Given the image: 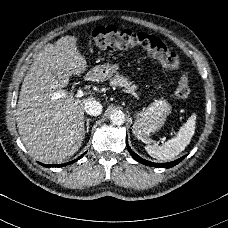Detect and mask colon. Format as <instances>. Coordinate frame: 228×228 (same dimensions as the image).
<instances>
[{
  "label": "colon",
  "instance_id": "5ec220e1",
  "mask_svg": "<svg viewBox=\"0 0 228 228\" xmlns=\"http://www.w3.org/2000/svg\"><path fill=\"white\" fill-rule=\"evenodd\" d=\"M91 39L94 46L100 49H131L143 46L171 72L174 94L179 98H185L190 94L188 74L182 61L161 38L108 25L97 26L92 32Z\"/></svg>",
  "mask_w": 228,
  "mask_h": 228
}]
</instances>
